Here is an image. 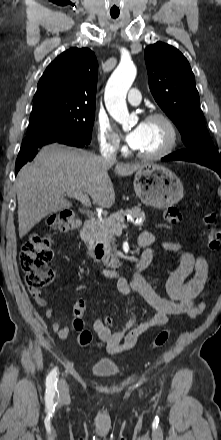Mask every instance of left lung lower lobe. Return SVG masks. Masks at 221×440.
Masks as SVG:
<instances>
[{"instance_id":"1","label":"left lung lower lobe","mask_w":221,"mask_h":440,"mask_svg":"<svg viewBox=\"0 0 221 440\" xmlns=\"http://www.w3.org/2000/svg\"><path fill=\"white\" fill-rule=\"evenodd\" d=\"M162 160L163 161H172V160H183V159H182V157H180V156L176 155L175 153H173V154H170V155L162 158ZM213 170H215L219 174V176L221 177V168H216L215 167V169H213Z\"/></svg>"}]
</instances>
